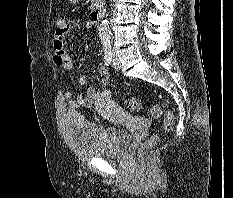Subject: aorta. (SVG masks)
<instances>
[{"instance_id": "aorta-1", "label": "aorta", "mask_w": 233, "mask_h": 198, "mask_svg": "<svg viewBox=\"0 0 233 198\" xmlns=\"http://www.w3.org/2000/svg\"><path fill=\"white\" fill-rule=\"evenodd\" d=\"M100 39L102 42H109L111 38L110 24L107 19L102 20L98 28Z\"/></svg>"}]
</instances>
